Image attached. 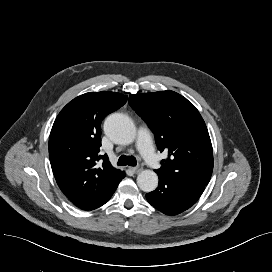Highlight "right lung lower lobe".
Masks as SVG:
<instances>
[{
  "label": "right lung lower lobe",
  "mask_w": 272,
  "mask_h": 272,
  "mask_svg": "<svg viewBox=\"0 0 272 272\" xmlns=\"http://www.w3.org/2000/svg\"><path fill=\"white\" fill-rule=\"evenodd\" d=\"M125 176V175H124ZM124 176H123V178H124ZM122 178V179H123ZM121 179V180H122ZM120 180V181H121ZM119 184V183H118ZM118 184L114 187V188H112L101 200H99L95 205H93L92 207H90V208H88V209H85V210H93V209H96V208H98V207H100V206H102L103 204H105L110 198H111V196H112V194L115 192V190H116V188H117V186H118Z\"/></svg>",
  "instance_id": "obj_1"
}]
</instances>
